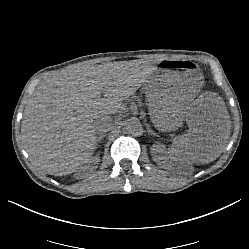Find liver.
Returning <instances> with one entry per match:
<instances>
[{"instance_id":"obj_1","label":"liver","mask_w":249,"mask_h":249,"mask_svg":"<svg viewBox=\"0 0 249 249\" xmlns=\"http://www.w3.org/2000/svg\"><path fill=\"white\" fill-rule=\"evenodd\" d=\"M152 73L144 67L108 64L69 67L43 80L25 107L21 126L32 164L55 176L84 166L97 148L94 122L116 114ZM146 104L153 127L162 133L186 121L188 130L173 139L170 149L175 161L206 164L221 155L231 124L220 96L209 93L191 103L172 104L157 94L146 96Z\"/></svg>"}]
</instances>
